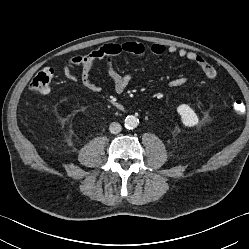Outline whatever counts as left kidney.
Returning <instances> with one entry per match:
<instances>
[{"mask_svg": "<svg viewBox=\"0 0 249 249\" xmlns=\"http://www.w3.org/2000/svg\"><path fill=\"white\" fill-rule=\"evenodd\" d=\"M177 112L181 117V121L186 127H193L198 124V116L194 110L187 104H181L177 107Z\"/></svg>", "mask_w": 249, "mask_h": 249, "instance_id": "1", "label": "left kidney"}]
</instances>
